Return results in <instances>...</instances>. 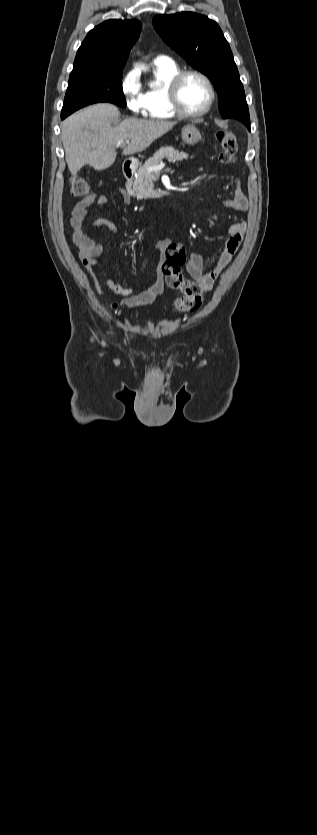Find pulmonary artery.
<instances>
[{
    "instance_id": "1",
    "label": "pulmonary artery",
    "mask_w": 317,
    "mask_h": 835,
    "mask_svg": "<svg viewBox=\"0 0 317 835\" xmlns=\"http://www.w3.org/2000/svg\"><path fill=\"white\" fill-rule=\"evenodd\" d=\"M165 60H169V58L167 56H164V55H158V56L155 57L154 62L165 61Z\"/></svg>"
}]
</instances>
